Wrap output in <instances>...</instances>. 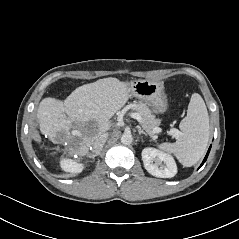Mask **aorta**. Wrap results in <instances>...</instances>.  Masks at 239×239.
<instances>
[{
	"label": "aorta",
	"mask_w": 239,
	"mask_h": 239,
	"mask_svg": "<svg viewBox=\"0 0 239 239\" xmlns=\"http://www.w3.org/2000/svg\"><path fill=\"white\" fill-rule=\"evenodd\" d=\"M133 142V137L131 133H124L121 136V143L124 145H130Z\"/></svg>",
	"instance_id": "aorta-1"
}]
</instances>
